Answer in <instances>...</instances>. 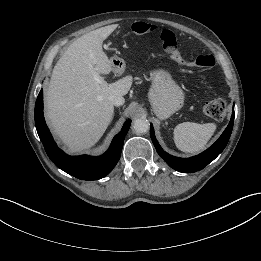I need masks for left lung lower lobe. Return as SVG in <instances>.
Here are the masks:
<instances>
[{
  "label": "left lung lower lobe",
  "instance_id": "left-lung-lower-lobe-1",
  "mask_svg": "<svg viewBox=\"0 0 261 261\" xmlns=\"http://www.w3.org/2000/svg\"><path fill=\"white\" fill-rule=\"evenodd\" d=\"M233 121H234V108H233V113L230 122L227 128L225 129V131L223 132V134L220 136V138L206 151L191 158H178V157L171 156L170 154L163 151L155 138L152 124L150 126V136L157 152L171 168L183 173L196 172L203 169L206 165H208L211 161H213L223 151V149L225 148V146L229 141L233 129Z\"/></svg>",
  "mask_w": 261,
  "mask_h": 261
}]
</instances>
